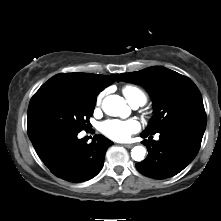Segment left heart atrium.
I'll return each mask as SVG.
<instances>
[{
    "label": "left heart atrium",
    "instance_id": "obj_1",
    "mask_svg": "<svg viewBox=\"0 0 221 221\" xmlns=\"http://www.w3.org/2000/svg\"><path fill=\"white\" fill-rule=\"evenodd\" d=\"M140 128L139 123L134 119L128 120H107L100 124V131L107 137L116 141H126L131 134Z\"/></svg>",
    "mask_w": 221,
    "mask_h": 221
}]
</instances>
